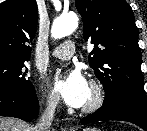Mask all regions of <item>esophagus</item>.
Returning a JSON list of instances; mask_svg holds the SVG:
<instances>
[{
	"label": "esophagus",
	"mask_w": 147,
	"mask_h": 131,
	"mask_svg": "<svg viewBox=\"0 0 147 131\" xmlns=\"http://www.w3.org/2000/svg\"><path fill=\"white\" fill-rule=\"evenodd\" d=\"M62 131H72V130H68L66 127L62 128Z\"/></svg>",
	"instance_id": "1"
}]
</instances>
